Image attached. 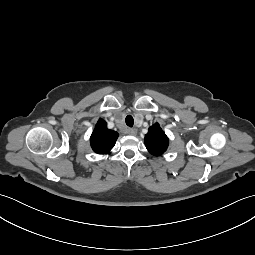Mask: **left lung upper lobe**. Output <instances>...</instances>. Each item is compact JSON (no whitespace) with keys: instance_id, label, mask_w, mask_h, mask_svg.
<instances>
[{"instance_id":"obj_1","label":"left lung upper lobe","mask_w":255,"mask_h":255,"mask_svg":"<svg viewBox=\"0 0 255 255\" xmlns=\"http://www.w3.org/2000/svg\"><path fill=\"white\" fill-rule=\"evenodd\" d=\"M168 143V137L162 131L158 123L149 128L145 136V145L151 154L155 156L163 154L168 147Z\"/></svg>"}]
</instances>
